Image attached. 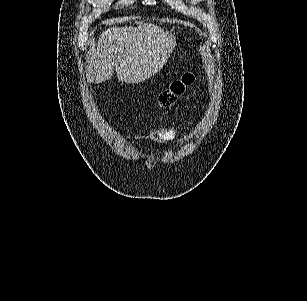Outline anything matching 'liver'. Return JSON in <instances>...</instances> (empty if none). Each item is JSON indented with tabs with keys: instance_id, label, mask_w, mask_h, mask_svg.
Instances as JSON below:
<instances>
[{
	"instance_id": "liver-1",
	"label": "liver",
	"mask_w": 307,
	"mask_h": 301,
	"mask_svg": "<svg viewBox=\"0 0 307 301\" xmlns=\"http://www.w3.org/2000/svg\"><path fill=\"white\" fill-rule=\"evenodd\" d=\"M176 44L174 34L152 22L138 26H111L101 32L89 52L88 82H104L114 68L121 82H143L163 68Z\"/></svg>"
}]
</instances>
